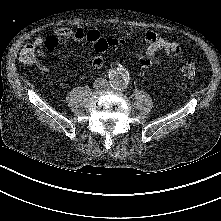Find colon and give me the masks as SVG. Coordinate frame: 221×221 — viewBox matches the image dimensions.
Segmentation results:
<instances>
[{"mask_svg": "<svg viewBox=\"0 0 221 221\" xmlns=\"http://www.w3.org/2000/svg\"><path fill=\"white\" fill-rule=\"evenodd\" d=\"M121 41L111 38H101L98 40L94 47L99 53L107 51L110 47H115L120 44ZM37 48L33 44L25 45L20 51V61L24 64H34L37 60ZM180 72L185 77H194L197 74V65L192 59L185 61L180 69Z\"/></svg>", "mask_w": 221, "mask_h": 221, "instance_id": "obj_1", "label": "colon"}]
</instances>
